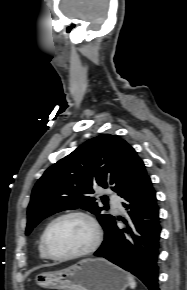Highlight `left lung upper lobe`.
Returning a JSON list of instances; mask_svg holds the SVG:
<instances>
[{"instance_id":"5c2ea615","label":"left lung upper lobe","mask_w":187,"mask_h":290,"mask_svg":"<svg viewBox=\"0 0 187 290\" xmlns=\"http://www.w3.org/2000/svg\"><path fill=\"white\" fill-rule=\"evenodd\" d=\"M147 174L136 151L119 136L99 135L48 168L36 183L28 206L26 235L44 218L82 208L97 215L104 230L114 217L101 214L92 186H112L119 196ZM103 199V198H102Z\"/></svg>"}]
</instances>
